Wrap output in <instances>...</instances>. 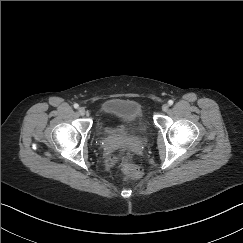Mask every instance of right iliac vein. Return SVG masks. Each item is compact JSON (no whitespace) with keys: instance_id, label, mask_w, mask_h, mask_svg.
I'll list each match as a JSON object with an SVG mask.
<instances>
[{"instance_id":"right-iliac-vein-1","label":"right iliac vein","mask_w":243,"mask_h":243,"mask_svg":"<svg viewBox=\"0 0 243 243\" xmlns=\"http://www.w3.org/2000/svg\"><path fill=\"white\" fill-rule=\"evenodd\" d=\"M78 112H79L80 115H84L85 114V108L84 107L78 108Z\"/></svg>"}]
</instances>
